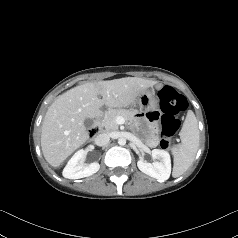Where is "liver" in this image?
Wrapping results in <instances>:
<instances>
[{"instance_id":"liver-1","label":"liver","mask_w":238,"mask_h":238,"mask_svg":"<svg viewBox=\"0 0 238 238\" xmlns=\"http://www.w3.org/2000/svg\"><path fill=\"white\" fill-rule=\"evenodd\" d=\"M155 84L157 81L126 77L85 83L59 95L48 108L42 123L41 148L46 161L58 167L82 146L89 138L84 121L96 118L102 106L127 107Z\"/></svg>"}]
</instances>
